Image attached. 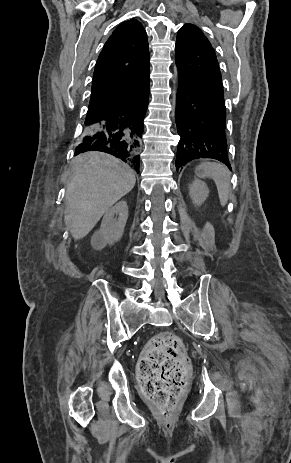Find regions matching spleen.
Masks as SVG:
<instances>
[{"label": "spleen", "mask_w": 291, "mask_h": 463, "mask_svg": "<svg viewBox=\"0 0 291 463\" xmlns=\"http://www.w3.org/2000/svg\"><path fill=\"white\" fill-rule=\"evenodd\" d=\"M199 178H212L217 186V191L222 206L228 202L230 193V172L218 163H202L195 170Z\"/></svg>", "instance_id": "spleen-1"}]
</instances>
